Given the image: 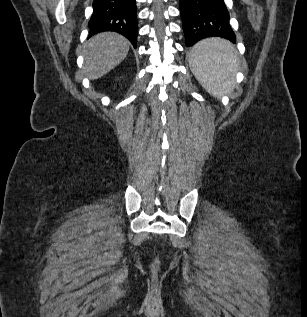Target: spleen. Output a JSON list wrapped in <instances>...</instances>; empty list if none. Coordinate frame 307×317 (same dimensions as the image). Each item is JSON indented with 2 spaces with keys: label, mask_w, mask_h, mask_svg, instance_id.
I'll use <instances>...</instances> for the list:
<instances>
[{
  "label": "spleen",
  "mask_w": 307,
  "mask_h": 317,
  "mask_svg": "<svg viewBox=\"0 0 307 317\" xmlns=\"http://www.w3.org/2000/svg\"><path fill=\"white\" fill-rule=\"evenodd\" d=\"M189 57L193 74L211 95L220 97L233 90L237 54L231 43L205 39L192 48Z\"/></svg>",
  "instance_id": "obj_1"
}]
</instances>
